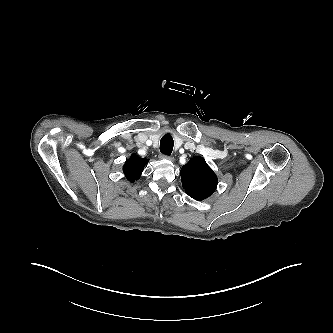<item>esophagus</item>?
<instances>
[{
	"label": "esophagus",
	"instance_id": "obj_1",
	"mask_svg": "<svg viewBox=\"0 0 333 333\" xmlns=\"http://www.w3.org/2000/svg\"><path fill=\"white\" fill-rule=\"evenodd\" d=\"M160 158L165 159V160H169V161H174V157L169 156V155H165V154H161Z\"/></svg>",
	"mask_w": 333,
	"mask_h": 333
}]
</instances>
